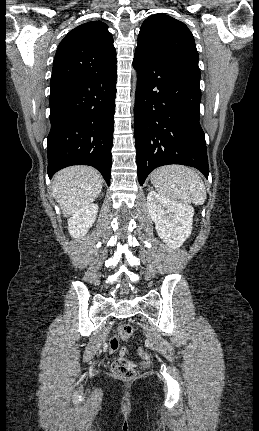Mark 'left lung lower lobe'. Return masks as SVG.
I'll use <instances>...</instances> for the list:
<instances>
[{"mask_svg":"<svg viewBox=\"0 0 259 431\" xmlns=\"http://www.w3.org/2000/svg\"><path fill=\"white\" fill-rule=\"evenodd\" d=\"M135 143L138 180L162 165L197 168L208 178L209 167L201 128L200 78L136 49Z\"/></svg>","mask_w":259,"mask_h":431,"instance_id":"1","label":"left lung lower lobe"}]
</instances>
